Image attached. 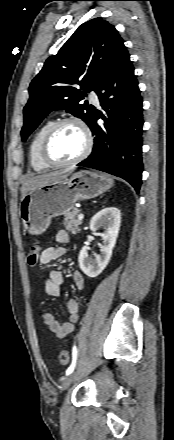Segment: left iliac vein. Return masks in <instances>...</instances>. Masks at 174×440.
Segmentation results:
<instances>
[{
    "label": "left iliac vein",
    "instance_id": "4c4485c4",
    "mask_svg": "<svg viewBox=\"0 0 174 440\" xmlns=\"http://www.w3.org/2000/svg\"><path fill=\"white\" fill-rule=\"evenodd\" d=\"M75 376H76V371L72 372L71 374L67 375L64 378V380L62 382V390H65L70 386V384L74 380Z\"/></svg>",
    "mask_w": 174,
    "mask_h": 440
}]
</instances>
